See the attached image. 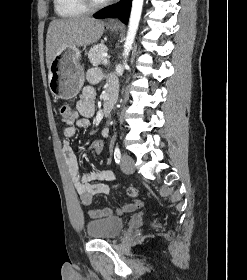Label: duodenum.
Returning <instances> with one entry per match:
<instances>
[{"instance_id":"410a0bca","label":"duodenum","mask_w":247,"mask_h":280,"mask_svg":"<svg viewBox=\"0 0 247 280\" xmlns=\"http://www.w3.org/2000/svg\"><path fill=\"white\" fill-rule=\"evenodd\" d=\"M115 101H116V91L112 87L107 91V93L104 96L103 113L105 115L110 114Z\"/></svg>"}]
</instances>
